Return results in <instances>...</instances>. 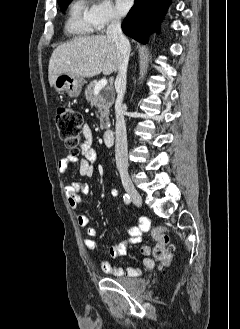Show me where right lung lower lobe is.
Listing matches in <instances>:
<instances>
[{
    "label": "right lung lower lobe",
    "instance_id": "1",
    "mask_svg": "<svg viewBox=\"0 0 240 329\" xmlns=\"http://www.w3.org/2000/svg\"><path fill=\"white\" fill-rule=\"evenodd\" d=\"M170 0H135L122 24L123 32L135 40L145 43L152 31L159 32V22L166 12Z\"/></svg>",
    "mask_w": 240,
    "mask_h": 329
}]
</instances>
